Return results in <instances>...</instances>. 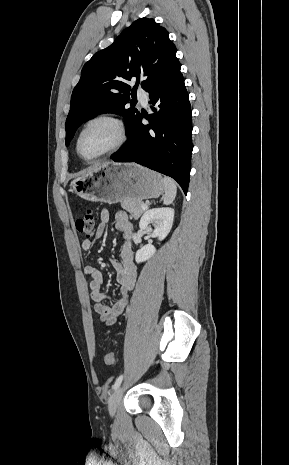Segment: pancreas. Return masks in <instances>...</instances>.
I'll list each match as a JSON object with an SVG mask.
<instances>
[{
  "mask_svg": "<svg viewBox=\"0 0 289 465\" xmlns=\"http://www.w3.org/2000/svg\"><path fill=\"white\" fill-rule=\"evenodd\" d=\"M143 204L141 200H124L121 202V207L131 213L133 218L137 220L144 212Z\"/></svg>",
  "mask_w": 289,
  "mask_h": 465,
  "instance_id": "obj_1",
  "label": "pancreas"
}]
</instances>
